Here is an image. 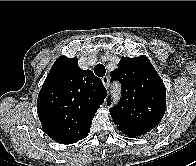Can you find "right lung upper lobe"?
I'll use <instances>...</instances> for the list:
<instances>
[{
  "instance_id": "obj_1",
  "label": "right lung upper lobe",
  "mask_w": 196,
  "mask_h": 166,
  "mask_svg": "<svg viewBox=\"0 0 196 166\" xmlns=\"http://www.w3.org/2000/svg\"><path fill=\"white\" fill-rule=\"evenodd\" d=\"M107 91L91 70H82L77 58L60 56L39 92L37 112L46 134L60 144L85 138Z\"/></svg>"
}]
</instances>
